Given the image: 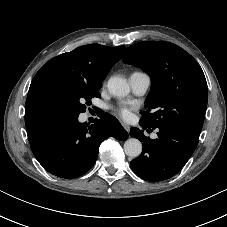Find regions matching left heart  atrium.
I'll return each mask as SVG.
<instances>
[{
    "label": "left heart atrium",
    "mask_w": 227,
    "mask_h": 227,
    "mask_svg": "<svg viewBox=\"0 0 227 227\" xmlns=\"http://www.w3.org/2000/svg\"><path fill=\"white\" fill-rule=\"evenodd\" d=\"M116 113L124 119H130L132 116L133 107L131 106H119L115 109Z\"/></svg>",
    "instance_id": "1"
}]
</instances>
